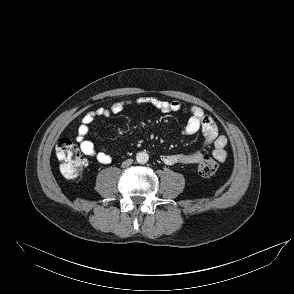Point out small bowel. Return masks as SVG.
<instances>
[{
    "mask_svg": "<svg viewBox=\"0 0 294 294\" xmlns=\"http://www.w3.org/2000/svg\"><path fill=\"white\" fill-rule=\"evenodd\" d=\"M134 103H149L156 109L166 113L178 112L183 107L182 103L177 100L164 101L153 98H142L135 101H117L108 107H99L92 110L82 117L77 129L76 140L80 145L81 151L85 155L95 157L97 161L102 164L111 163V155L105 149L96 150L94 144L87 139L90 126L97 118H109L112 115L121 113L128 105ZM199 131H201L204 136V146L213 145V157L220 162L225 161L228 156L226 151L227 138L218 133L217 126L213 119L206 115L201 107L194 105L190 108V117L181 132L184 136H191ZM204 157V151L198 149L193 152L163 155L161 159L167 165H186L198 164Z\"/></svg>",
    "mask_w": 294,
    "mask_h": 294,
    "instance_id": "1",
    "label": "small bowel"
}]
</instances>
